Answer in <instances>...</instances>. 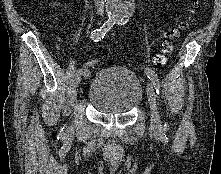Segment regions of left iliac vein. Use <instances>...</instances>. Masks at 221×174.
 Wrapping results in <instances>:
<instances>
[{
	"label": "left iliac vein",
	"mask_w": 221,
	"mask_h": 174,
	"mask_svg": "<svg viewBox=\"0 0 221 174\" xmlns=\"http://www.w3.org/2000/svg\"><path fill=\"white\" fill-rule=\"evenodd\" d=\"M147 96L151 110V129L153 131H158L161 129L160 116L157 110V98L151 82L147 83Z\"/></svg>",
	"instance_id": "obj_1"
}]
</instances>
